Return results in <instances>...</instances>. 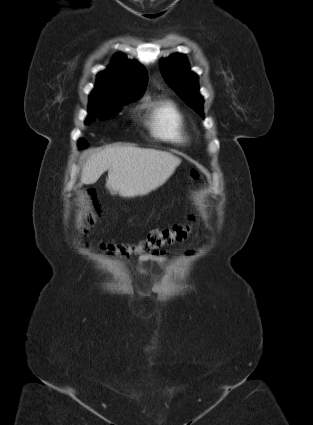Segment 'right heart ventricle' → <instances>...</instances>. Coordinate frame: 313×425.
Instances as JSON below:
<instances>
[{"label": "right heart ventricle", "instance_id": "1", "mask_svg": "<svg viewBox=\"0 0 313 425\" xmlns=\"http://www.w3.org/2000/svg\"><path fill=\"white\" fill-rule=\"evenodd\" d=\"M147 109L149 126L155 137L176 144L187 141L188 127L175 104L169 101H154L147 104Z\"/></svg>", "mask_w": 313, "mask_h": 425}]
</instances>
